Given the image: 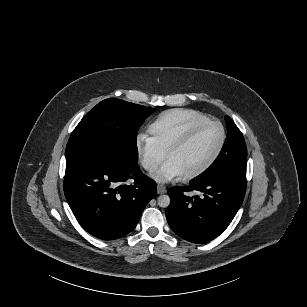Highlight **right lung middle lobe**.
Instances as JSON below:
<instances>
[{
  "instance_id": "1",
  "label": "right lung middle lobe",
  "mask_w": 307,
  "mask_h": 307,
  "mask_svg": "<svg viewBox=\"0 0 307 307\" xmlns=\"http://www.w3.org/2000/svg\"><path fill=\"white\" fill-rule=\"evenodd\" d=\"M153 113L151 107L109 98L91 109L72 132L66 160L105 154L128 165H138L137 132Z\"/></svg>"
}]
</instances>
